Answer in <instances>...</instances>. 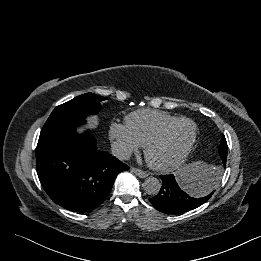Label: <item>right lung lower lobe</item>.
<instances>
[{
    "mask_svg": "<svg viewBox=\"0 0 261 261\" xmlns=\"http://www.w3.org/2000/svg\"><path fill=\"white\" fill-rule=\"evenodd\" d=\"M85 120L64 121L43 127L36 148V168L49 197L65 209L88 212L109 195L118 173L129 167L97 150L95 138L75 132Z\"/></svg>",
    "mask_w": 261,
    "mask_h": 261,
    "instance_id": "98d812e1",
    "label": "right lung lower lobe"
}]
</instances>
